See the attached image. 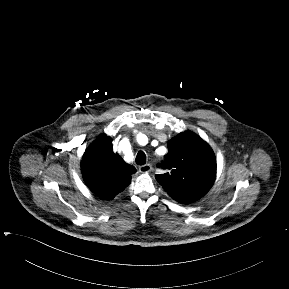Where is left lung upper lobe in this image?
Segmentation results:
<instances>
[{
	"instance_id": "5c2ea615",
	"label": "left lung upper lobe",
	"mask_w": 289,
	"mask_h": 289,
	"mask_svg": "<svg viewBox=\"0 0 289 289\" xmlns=\"http://www.w3.org/2000/svg\"><path fill=\"white\" fill-rule=\"evenodd\" d=\"M168 154L159 166L170 170L155 176L179 203H192L211 188L216 175L215 155L193 132H182L167 143Z\"/></svg>"
}]
</instances>
